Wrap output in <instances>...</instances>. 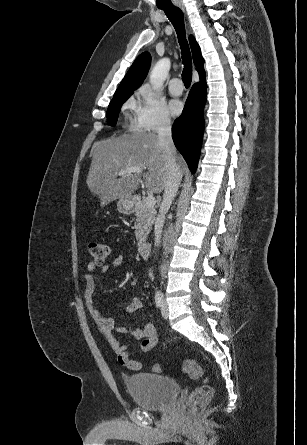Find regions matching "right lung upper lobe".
Here are the masks:
<instances>
[{
    "label": "right lung upper lobe",
    "mask_w": 307,
    "mask_h": 445,
    "mask_svg": "<svg viewBox=\"0 0 307 445\" xmlns=\"http://www.w3.org/2000/svg\"><path fill=\"white\" fill-rule=\"evenodd\" d=\"M189 41L192 49L194 64L196 66L197 71L200 73L204 71L203 70L204 59L201 56L200 47L195 41L193 36L189 37ZM150 61L151 57L148 52H144L136 58V60L128 70L127 74L121 81L119 87L117 88L111 102L124 98H129V96L133 93V91L136 90L145 79L150 67Z\"/></svg>",
    "instance_id": "cb5924a9"
}]
</instances>
